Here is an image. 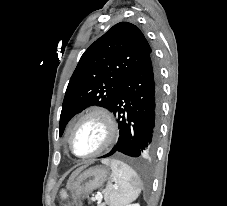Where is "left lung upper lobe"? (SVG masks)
Segmentation results:
<instances>
[{"instance_id": "obj_1", "label": "left lung upper lobe", "mask_w": 227, "mask_h": 206, "mask_svg": "<svg viewBox=\"0 0 227 206\" xmlns=\"http://www.w3.org/2000/svg\"><path fill=\"white\" fill-rule=\"evenodd\" d=\"M151 52L140 29L128 22L114 25L91 44L69 81L60 115L59 136L69 120L90 105L111 111L123 82Z\"/></svg>"}]
</instances>
